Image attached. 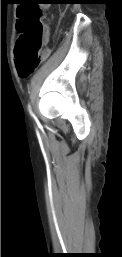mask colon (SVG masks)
Here are the masks:
<instances>
[{
    "instance_id": "colon-1",
    "label": "colon",
    "mask_w": 122,
    "mask_h": 257,
    "mask_svg": "<svg viewBox=\"0 0 122 257\" xmlns=\"http://www.w3.org/2000/svg\"><path fill=\"white\" fill-rule=\"evenodd\" d=\"M15 58L21 76L29 74L43 57L46 29L41 21L40 5H19Z\"/></svg>"
}]
</instances>
